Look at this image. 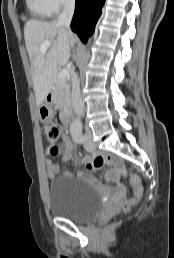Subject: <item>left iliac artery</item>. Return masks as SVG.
<instances>
[{
    "label": "left iliac artery",
    "instance_id": "44dca946",
    "mask_svg": "<svg viewBox=\"0 0 174 258\" xmlns=\"http://www.w3.org/2000/svg\"><path fill=\"white\" fill-rule=\"evenodd\" d=\"M72 137H73V140L78 144H82L85 142V137L82 135L81 129H78L72 132Z\"/></svg>",
    "mask_w": 174,
    "mask_h": 258
}]
</instances>
